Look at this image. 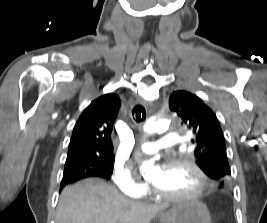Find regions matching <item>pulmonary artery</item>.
<instances>
[{"label":"pulmonary artery","mask_w":267,"mask_h":223,"mask_svg":"<svg viewBox=\"0 0 267 223\" xmlns=\"http://www.w3.org/2000/svg\"><path fill=\"white\" fill-rule=\"evenodd\" d=\"M179 137L175 134L165 133L157 142H143L140 144V149L144 153L152 154L159 151L162 148L177 145Z\"/></svg>","instance_id":"obj_1"}]
</instances>
